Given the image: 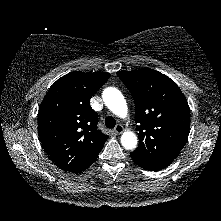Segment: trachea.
Instances as JSON below:
<instances>
[{"label":"trachea","instance_id":"3493384b","mask_svg":"<svg viewBox=\"0 0 221 221\" xmlns=\"http://www.w3.org/2000/svg\"><path fill=\"white\" fill-rule=\"evenodd\" d=\"M105 125L107 128H114L116 125V121L112 116H108L105 119Z\"/></svg>","mask_w":221,"mask_h":221}]
</instances>
